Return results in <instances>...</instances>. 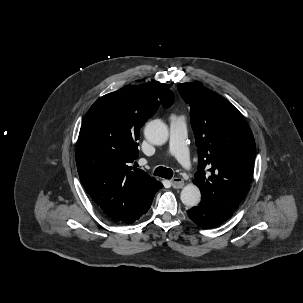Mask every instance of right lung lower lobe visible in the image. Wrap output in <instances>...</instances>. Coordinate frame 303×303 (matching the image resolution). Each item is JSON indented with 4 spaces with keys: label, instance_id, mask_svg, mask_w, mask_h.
I'll list each match as a JSON object with an SVG mask.
<instances>
[{
    "label": "right lung lower lobe",
    "instance_id": "right-lung-lower-lobe-1",
    "mask_svg": "<svg viewBox=\"0 0 303 303\" xmlns=\"http://www.w3.org/2000/svg\"><path fill=\"white\" fill-rule=\"evenodd\" d=\"M162 187H163V185L160 183V186H158V188L155 191L148 194L136 209H134L130 213L122 216L119 219H113V220L116 223L122 224V225L132 224L135 221H137L141 216H143L149 210L155 193Z\"/></svg>",
    "mask_w": 303,
    "mask_h": 303
}]
</instances>
